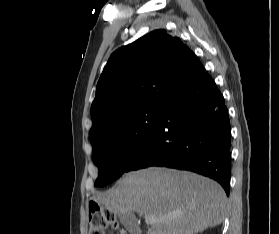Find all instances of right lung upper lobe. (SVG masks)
<instances>
[{
  "mask_svg": "<svg viewBox=\"0 0 279 234\" xmlns=\"http://www.w3.org/2000/svg\"><path fill=\"white\" fill-rule=\"evenodd\" d=\"M178 37L152 31L109 58L91 106V142L118 118L168 103L202 68Z\"/></svg>",
  "mask_w": 279,
  "mask_h": 234,
  "instance_id": "cb5924a9",
  "label": "right lung upper lobe"
}]
</instances>
